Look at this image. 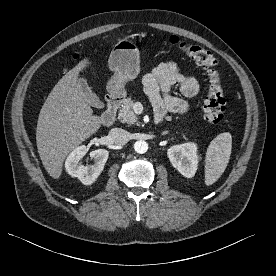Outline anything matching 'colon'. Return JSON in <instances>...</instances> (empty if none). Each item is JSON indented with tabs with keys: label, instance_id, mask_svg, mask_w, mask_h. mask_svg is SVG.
I'll use <instances>...</instances> for the list:
<instances>
[{
	"label": "colon",
	"instance_id": "5ec220e1",
	"mask_svg": "<svg viewBox=\"0 0 276 276\" xmlns=\"http://www.w3.org/2000/svg\"><path fill=\"white\" fill-rule=\"evenodd\" d=\"M170 42L206 70L209 78V88L203 102L204 117L209 124L219 123L223 119L226 98L217 60L208 50L181 41L178 37H171Z\"/></svg>",
	"mask_w": 276,
	"mask_h": 276
}]
</instances>
